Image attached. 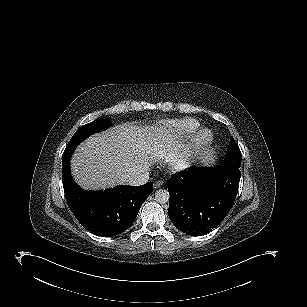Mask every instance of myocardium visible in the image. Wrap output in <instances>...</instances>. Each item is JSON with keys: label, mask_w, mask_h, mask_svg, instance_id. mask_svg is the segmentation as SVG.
<instances>
[{"label": "myocardium", "mask_w": 307, "mask_h": 307, "mask_svg": "<svg viewBox=\"0 0 307 307\" xmlns=\"http://www.w3.org/2000/svg\"><path fill=\"white\" fill-rule=\"evenodd\" d=\"M212 133L208 128L201 129L184 147L169 159L163 161L162 165L172 172H181L189 169L197 161L200 152L209 144Z\"/></svg>", "instance_id": "obj_1"}]
</instances>
